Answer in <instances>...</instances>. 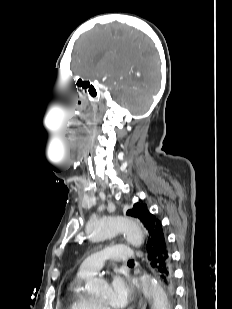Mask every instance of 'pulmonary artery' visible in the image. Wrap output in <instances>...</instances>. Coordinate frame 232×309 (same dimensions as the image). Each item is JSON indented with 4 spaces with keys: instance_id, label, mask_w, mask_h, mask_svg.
I'll list each match as a JSON object with an SVG mask.
<instances>
[{
    "instance_id": "1",
    "label": "pulmonary artery",
    "mask_w": 232,
    "mask_h": 309,
    "mask_svg": "<svg viewBox=\"0 0 232 309\" xmlns=\"http://www.w3.org/2000/svg\"><path fill=\"white\" fill-rule=\"evenodd\" d=\"M134 257V251L126 246H109L104 249L97 250L88 256L80 264L78 274L85 277H90L101 269L104 261L106 260L124 263Z\"/></svg>"
}]
</instances>
